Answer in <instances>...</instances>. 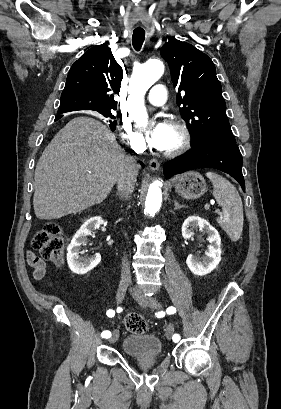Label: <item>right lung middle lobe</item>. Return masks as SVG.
<instances>
[{"mask_svg": "<svg viewBox=\"0 0 281 409\" xmlns=\"http://www.w3.org/2000/svg\"><path fill=\"white\" fill-rule=\"evenodd\" d=\"M100 114H102L105 117H110L112 119H114L115 117L113 116V114L111 113V111H106V112H99Z\"/></svg>", "mask_w": 281, "mask_h": 409, "instance_id": "obj_1", "label": "right lung middle lobe"}]
</instances>
